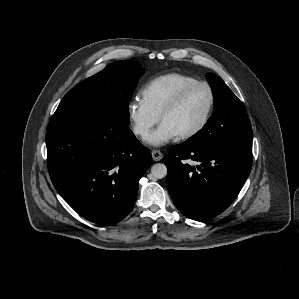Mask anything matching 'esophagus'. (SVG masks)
I'll list each match as a JSON object with an SVG mask.
<instances>
[{
	"label": "esophagus",
	"mask_w": 299,
	"mask_h": 299,
	"mask_svg": "<svg viewBox=\"0 0 299 299\" xmlns=\"http://www.w3.org/2000/svg\"><path fill=\"white\" fill-rule=\"evenodd\" d=\"M152 158L154 161H160L163 158V154L159 150L152 151Z\"/></svg>",
	"instance_id": "obj_1"
}]
</instances>
